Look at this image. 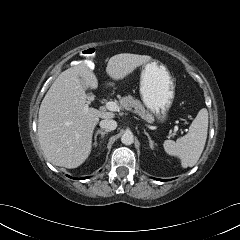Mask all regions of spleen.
I'll use <instances>...</instances> for the list:
<instances>
[{"label": "spleen", "instance_id": "3e777b00", "mask_svg": "<svg viewBox=\"0 0 240 240\" xmlns=\"http://www.w3.org/2000/svg\"><path fill=\"white\" fill-rule=\"evenodd\" d=\"M208 131V111L201 109L189 127L188 133L177 141L165 140L164 150L181 160L183 168L193 167L199 160L206 143Z\"/></svg>", "mask_w": 240, "mask_h": 240}]
</instances>
